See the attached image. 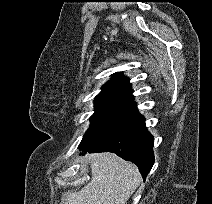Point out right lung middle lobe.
Segmentation results:
<instances>
[{"mask_svg":"<svg viewBox=\"0 0 212 204\" xmlns=\"http://www.w3.org/2000/svg\"><path fill=\"white\" fill-rule=\"evenodd\" d=\"M139 115L135 104L119 101H96L91 125L79 148L93 147L125 129Z\"/></svg>","mask_w":212,"mask_h":204,"instance_id":"1","label":"right lung middle lobe"}]
</instances>
